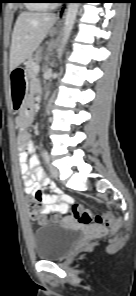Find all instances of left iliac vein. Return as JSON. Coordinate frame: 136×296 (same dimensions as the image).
Returning a JSON list of instances; mask_svg holds the SVG:
<instances>
[{
	"label": "left iliac vein",
	"instance_id": "left-iliac-vein-1",
	"mask_svg": "<svg viewBox=\"0 0 136 296\" xmlns=\"http://www.w3.org/2000/svg\"><path fill=\"white\" fill-rule=\"evenodd\" d=\"M50 171L51 173L55 176V177H59L60 173L59 170L57 169V167L53 166V165H49Z\"/></svg>",
	"mask_w": 136,
	"mask_h": 296
}]
</instances>
